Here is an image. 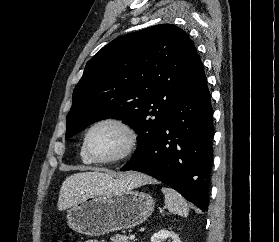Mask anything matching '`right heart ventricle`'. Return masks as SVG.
I'll list each match as a JSON object with an SVG mask.
<instances>
[{"label": "right heart ventricle", "mask_w": 279, "mask_h": 242, "mask_svg": "<svg viewBox=\"0 0 279 242\" xmlns=\"http://www.w3.org/2000/svg\"><path fill=\"white\" fill-rule=\"evenodd\" d=\"M79 156H80V160H81L84 164H87V165L92 164V162L89 160V158L86 156V154H85V152H84V150H83V145H82L81 148H80Z\"/></svg>", "instance_id": "e07e8e85"}]
</instances>
